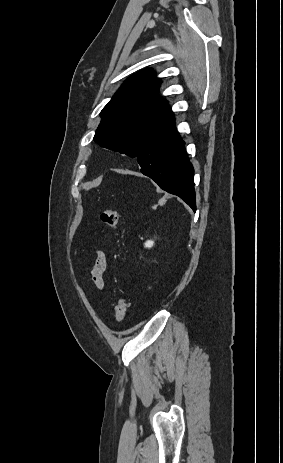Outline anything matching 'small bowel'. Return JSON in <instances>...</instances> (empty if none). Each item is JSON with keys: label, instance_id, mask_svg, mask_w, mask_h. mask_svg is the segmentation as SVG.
Returning <instances> with one entry per match:
<instances>
[{"label": "small bowel", "instance_id": "small-bowel-1", "mask_svg": "<svg viewBox=\"0 0 283 463\" xmlns=\"http://www.w3.org/2000/svg\"><path fill=\"white\" fill-rule=\"evenodd\" d=\"M108 267V259L101 251L97 252V257L94 266L91 270L92 282L98 290H103L105 287L104 273Z\"/></svg>", "mask_w": 283, "mask_h": 463}]
</instances>
